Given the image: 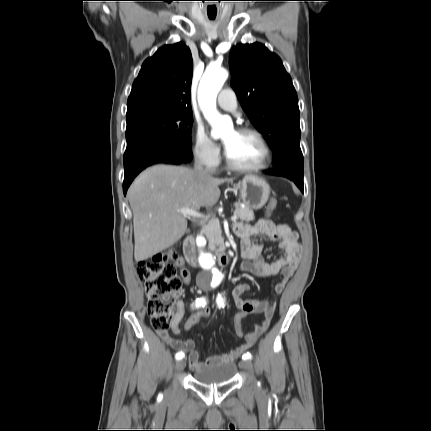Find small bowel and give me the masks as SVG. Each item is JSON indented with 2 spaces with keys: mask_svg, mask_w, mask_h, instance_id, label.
Segmentation results:
<instances>
[{
  "mask_svg": "<svg viewBox=\"0 0 431 431\" xmlns=\"http://www.w3.org/2000/svg\"><path fill=\"white\" fill-rule=\"evenodd\" d=\"M235 232L241 240L240 249L243 261L240 265V271L249 272L257 277L279 275L280 280L275 285L274 291L277 294L282 293L298 265V235L287 225L275 224L268 219H261L254 225L238 224L235 226ZM257 235H266L271 240L278 241V246L283 250L284 255L278 260L267 262L262 256L263 246L252 241V237ZM177 265L180 268L183 282L187 285L190 284L191 274L181 258L177 260ZM250 289L251 287L247 282L239 283L232 291L233 301L239 310L246 311L247 316L262 314L263 319L260 323L254 325L251 332L242 337L245 340L244 343L227 353L200 360L199 352L195 348L193 339L179 340L170 335L181 333L180 322L185 314L184 303L181 300L176 301V311L168 329L157 330V334L173 349L184 354L188 353L190 367L193 370L232 362L250 349L268 329L276 308V302L270 303L264 300L244 298V294L248 293Z\"/></svg>",
  "mask_w": 431,
  "mask_h": 431,
  "instance_id": "1",
  "label": "small bowel"
}]
</instances>
